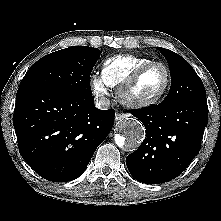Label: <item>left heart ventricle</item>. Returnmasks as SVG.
I'll return each mask as SVG.
<instances>
[{
	"mask_svg": "<svg viewBox=\"0 0 221 221\" xmlns=\"http://www.w3.org/2000/svg\"><path fill=\"white\" fill-rule=\"evenodd\" d=\"M165 79L166 74L162 67H152L140 78L131 91V96L137 99L148 98L162 89Z\"/></svg>",
	"mask_w": 221,
	"mask_h": 221,
	"instance_id": "b2bd125f",
	"label": "left heart ventricle"
}]
</instances>
